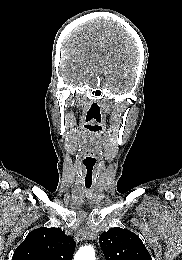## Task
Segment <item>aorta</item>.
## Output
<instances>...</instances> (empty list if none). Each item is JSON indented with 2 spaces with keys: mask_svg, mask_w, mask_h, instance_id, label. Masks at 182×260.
Masks as SVG:
<instances>
[{
  "mask_svg": "<svg viewBox=\"0 0 182 260\" xmlns=\"http://www.w3.org/2000/svg\"><path fill=\"white\" fill-rule=\"evenodd\" d=\"M74 260H96L94 248L90 245L81 247L75 254Z\"/></svg>",
  "mask_w": 182,
  "mask_h": 260,
  "instance_id": "aorta-1",
  "label": "aorta"
}]
</instances>
